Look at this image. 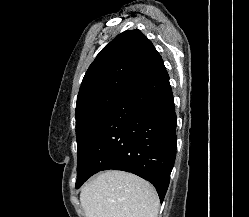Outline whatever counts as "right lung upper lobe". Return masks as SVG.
Segmentation results:
<instances>
[{"instance_id":"obj_1","label":"right lung upper lobe","mask_w":249,"mask_h":217,"mask_svg":"<svg viewBox=\"0 0 249 217\" xmlns=\"http://www.w3.org/2000/svg\"><path fill=\"white\" fill-rule=\"evenodd\" d=\"M160 61L151 41L139 30L125 31L107 44L88 68L77 105L105 92H127Z\"/></svg>"}]
</instances>
